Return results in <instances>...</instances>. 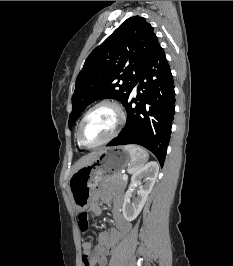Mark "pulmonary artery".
Listing matches in <instances>:
<instances>
[{
	"label": "pulmonary artery",
	"mask_w": 233,
	"mask_h": 266,
	"mask_svg": "<svg viewBox=\"0 0 233 266\" xmlns=\"http://www.w3.org/2000/svg\"><path fill=\"white\" fill-rule=\"evenodd\" d=\"M138 84L135 86V89L137 88Z\"/></svg>",
	"instance_id": "1"
}]
</instances>
